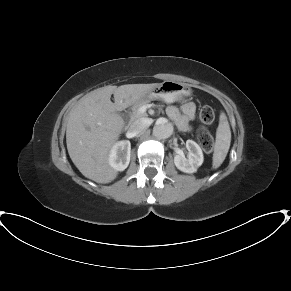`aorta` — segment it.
<instances>
[{
  "label": "aorta",
  "instance_id": "obj_1",
  "mask_svg": "<svg viewBox=\"0 0 291 291\" xmlns=\"http://www.w3.org/2000/svg\"><path fill=\"white\" fill-rule=\"evenodd\" d=\"M172 133L173 125L166 120L157 121L153 127V135L158 139L169 138Z\"/></svg>",
  "mask_w": 291,
  "mask_h": 291
}]
</instances>
